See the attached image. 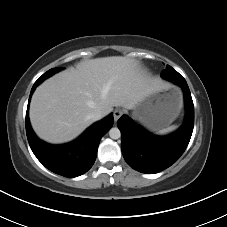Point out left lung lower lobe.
<instances>
[{
    "mask_svg": "<svg viewBox=\"0 0 227 227\" xmlns=\"http://www.w3.org/2000/svg\"><path fill=\"white\" fill-rule=\"evenodd\" d=\"M184 93L186 117L181 128L168 136H155L137 125L126 115L118 120L121 131V149L127 164L136 171L154 174L173 163L183 154L194 126V105L185 80L173 78Z\"/></svg>",
    "mask_w": 227,
    "mask_h": 227,
    "instance_id": "obj_1",
    "label": "left lung lower lobe"
}]
</instances>
